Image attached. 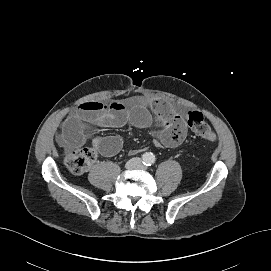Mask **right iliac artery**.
Returning a JSON list of instances; mask_svg holds the SVG:
<instances>
[{
  "label": "right iliac artery",
  "instance_id": "82829eb1",
  "mask_svg": "<svg viewBox=\"0 0 271 271\" xmlns=\"http://www.w3.org/2000/svg\"><path fill=\"white\" fill-rule=\"evenodd\" d=\"M143 160H144L145 162H147V158H146V157H144V156H143Z\"/></svg>",
  "mask_w": 271,
  "mask_h": 271
}]
</instances>
